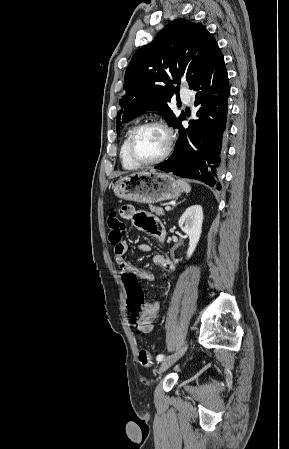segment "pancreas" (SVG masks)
<instances>
[{
    "mask_svg": "<svg viewBox=\"0 0 289 449\" xmlns=\"http://www.w3.org/2000/svg\"><path fill=\"white\" fill-rule=\"evenodd\" d=\"M149 209L151 212H154L157 216L164 215V210L161 207H156L153 205H149Z\"/></svg>",
    "mask_w": 289,
    "mask_h": 449,
    "instance_id": "cf45deb5",
    "label": "pancreas"
}]
</instances>
